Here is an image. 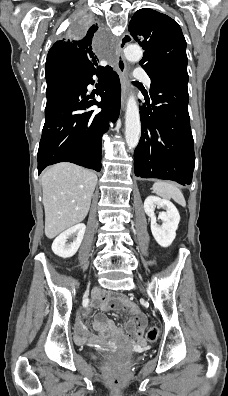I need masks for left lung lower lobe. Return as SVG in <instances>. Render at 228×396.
<instances>
[{
    "mask_svg": "<svg viewBox=\"0 0 228 396\" xmlns=\"http://www.w3.org/2000/svg\"><path fill=\"white\" fill-rule=\"evenodd\" d=\"M150 97L151 104L147 101V108H140L142 131L134 152L135 175L189 185L195 154L188 88L171 79L152 78Z\"/></svg>",
    "mask_w": 228,
    "mask_h": 396,
    "instance_id": "left-lung-lower-lobe-1",
    "label": "left lung lower lobe"
}]
</instances>
